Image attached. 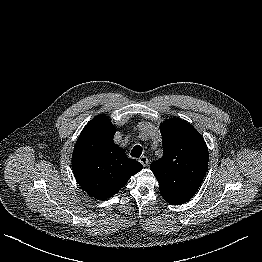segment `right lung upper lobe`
Wrapping results in <instances>:
<instances>
[{"label":"right lung upper lobe","mask_w":262,"mask_h":262,"mask_svg":"<svg viewBox=\"0 0 262 262\" xmlns=\"http://www.w3.org/2000/svg\"><path fill=\"white\" fill-rule=\"evenodd\" d=\"M115 132L110 119L98 115L84 127L73 151L72 168L77 182L99 200L116 194L143 168L114 143Z\"/></svg>","instance_id":"1"}]
</instances>
